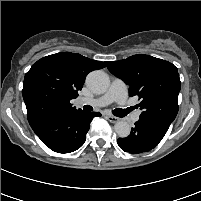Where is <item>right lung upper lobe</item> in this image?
<instances>
[{"mask_svg": "<svg viewBox=\"0 0 201 201\" xmlns=\"http://www.w3.org/2000/svg\"><path fill=\"white\" fill-rule=\"evenodd\" d=\"M105 67V63L80 54L60 52L38 60L26 73L23 99L27 116L39 112L72 114L79 110L71 99L78 96L86 75Z\"/></svg>", "mask_w": 201, "mask_h": 201, "instance_id": "right-lung-upper-lobe-1", "label": "right lung upper lobe"}]
</instances>
